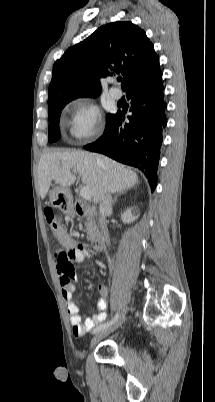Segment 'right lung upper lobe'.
Masks as SVG:
<instances>
[{
  "label": "right lung upper lobe",
  "instance_id": "obj_1",
  "mask_svg": "<svg viewBox=\"0 0 215 402\" xmlns=\"http://www.w3.org/2000/svg\"><path fill=\"white\" fill-rule=\"evenodd\" d=\"M114 74L124 76L122 89L127 92L162 77L153 44L129 21L104 25L66 50L53 66L48 104L58 98L96 96L99 80Z\"/></svg>",
  "mask_w": 215,
  "mask_h": 402
}]
</instances>
